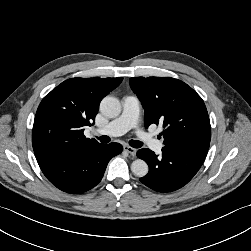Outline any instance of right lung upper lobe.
I'll list each match as a JSON object with an SVG mask.
<instances>
[{"instance_id":"cb5924a9","label":"right lung upper lobe","mask_w":251,"mask_h":251,"mask_svg":"<svg viewBox=\"0 0 251 251\" xmlns=\"http://www.w3.org/2000/svg\"><path fill=\"white\" fill-rule=\"evenodd\" d=\"M123 78H71L48 93L34 120L32 145L37 159L99 145L83 134L91 126L101 100Z\"/></svg>"}]
</instances>
